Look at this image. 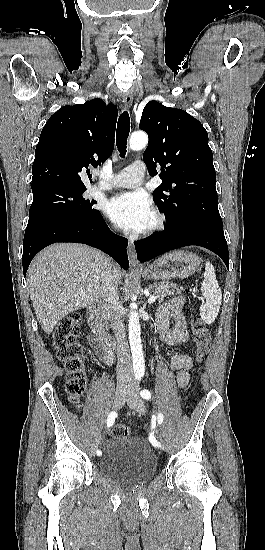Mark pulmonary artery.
<instances>
[{
  "mask_svg": "<svg viewBox=\"0 0 265 550\" xmlns=\"http://www.w3.org/2000/svg\"><path fill=\"white\" fill-rule=\"evenodd\" d=\"M145 174V165L141 161L132 162L107 183L99 184L97 189L135 188L139 186Z\"/></svg>",
  "mask_w": 265,
  "mask_h": 550,
  "instance_id": "obj_1",
  "label": "pulmonary artery"
}]
</instances>
